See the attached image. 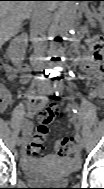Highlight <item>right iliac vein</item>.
Listing matches in <instances>:
<instances>
[{
    "label": "right iliac vein",
    "instance_id": "63e3f726",
    "mask_svg": "<svg viewBox=\"0 0 104 189\" xmlns=\"http://www.w3.org/2000/svg\"><path fill=\"white\" fill-rule=\"evenodd\" d=\"M47 93H48L47 90L41 91V92H40V98H41V99H44V98H45V95H46ZM16 144H17V146H21V145H22V139L18 138V139L16 140Z\"/></svg>",
    "mask_w": 104,
    "mask_h": 189
}]
</instances>
